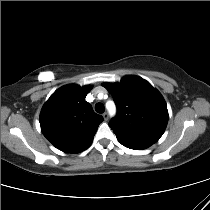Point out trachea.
Masks as SVG:
<instances>
[{"label": "trachea", "mask_w": 210, "mask_h": 210, "mask_svg": "<svg viewBox=\"0 0 210 210\" xmlns=\"http://www.w3.org/2000/svg\"><path fill=\"white\" fill-rule=\"evenodd\" d=\"M95 110L97 113H100V114L103 113L105 110L104 105L102 103H97L95 105Z\"/></svg>", "instance_id": "3493384b"}]
</instances>
